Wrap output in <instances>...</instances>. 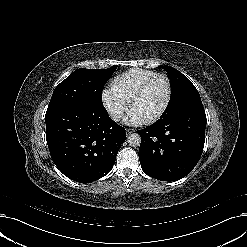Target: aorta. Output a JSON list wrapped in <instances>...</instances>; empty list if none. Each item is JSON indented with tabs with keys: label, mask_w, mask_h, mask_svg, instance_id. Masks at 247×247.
I'll return each mask as SVG.
<instances>
[{
	"label": "aorta",
	"mask_w": 247,
	"mask_h": 247,
	"mask_svg": "<svg viewBox=\"0 0 247 247\" xmlns=\"http://www.w3.org/2000/svg\"><path fill=\"white\" fill-rule=\"evenodd\" d=\"M127 142L132 147H138L140 146V143H141V137L139 134L133 133L128 136Z\"/></svg>",
	"instance_id": "obj_1"
}]
</instances>
